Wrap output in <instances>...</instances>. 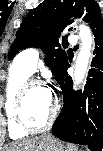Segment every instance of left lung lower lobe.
Returning <instances> with one entry per match:
<instances>
[{"instance_id": "left-lung-lower-lobe-1", "label": "left lung lower lobe", "mask_w": 103, "mask_h": 151, "mask_svg": "<svg viewBox=\"0 0 103 151\" xmlns=\"http://www.w3.org/2000/svg\"><path fill=\"white\" fill-rule=\"evenodd\" d=\"M95 36V57L84 91L74 92L67 73V62L56 77L63 91L64 105L52 133L61 140L87 145L101 151L103 145V30H92Z\"/></svg>"}]
</instances>
